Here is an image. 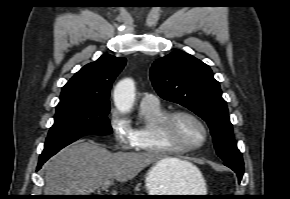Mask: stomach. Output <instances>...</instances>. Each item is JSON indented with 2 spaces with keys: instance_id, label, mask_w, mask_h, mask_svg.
Instances as JSON below:
<instances>
[{
  "instance_id": "1",
  "label": "stomach",
  "mask_w": 290,
  "mask_h": 199,
  "mask_svg": "<svg viewBox=\"0 0 290 199\" xmlns=\"http://www.w3.org/2000/svg\"><path fill=\"white\" fill-rule=\"evenodd\" d=\"M145 185L148 195H206V183L200 171L186 170L177 173L171 171L162 162L154 163L147 171ZM153 198L194 199L168 196H155Z\"/></svg>"
}]
</instances>
